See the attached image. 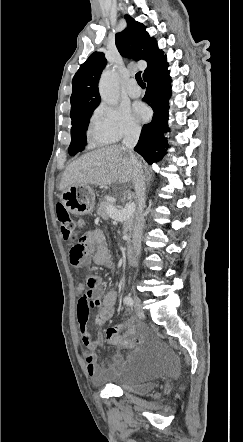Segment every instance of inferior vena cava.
I'll use <instances>...</instances> for the list:
<instances>
[{
  "label": "inferior vena cava",
  "instance_id": "obj_1",
  "mask_svg": "<svg viewBox=\"0 0 243 442\" xmlns=\"http://www.w3.org/2000/svg\"><path fill=\"white\" fill-rule=\"evenodd\" d=\"M141 129L138 126L131 125L125 133L122 141L123 148L129 153L134 169H133V184L138 198V213L134 220V230L132 236L133 251L136 255L141 249V238L144 229L145 219L142 215L145 206V177L141 162L134 154V147L138 142ZM129 205V204H128ZM135 208V205H134Z\"/></svg>",
  "mask_w": 243,
  "mask_h": 442
}]
</instances>
